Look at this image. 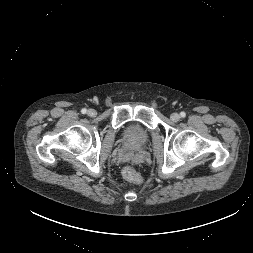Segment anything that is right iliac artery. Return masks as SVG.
Returning a JSON list of instances; mask_svg holds the SVG:
<instances>
[{
    "instance_id": "82829eb1",
    "label": "right iliac artery",
    "mask_w": 253,
    "mask_h": 253,
    "mask_svg": "<svg viewBox=\"0 0 253 253\" xmlns=\"http://www.w3.org/2000/svg\"><path fill=\"white\" fill-rule=\"evenodd\" d=\"M87 112V110L85 109V108H83L82 110H81V113L82 114H85Z\"/></svg>"
}]
</instances>
